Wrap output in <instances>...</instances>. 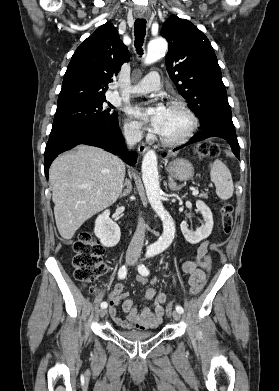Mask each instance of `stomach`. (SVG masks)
Listing matches in <instances>:
<instances>
[{
  "instance_id": "0dacf381",
  "label": "stomach",
  "mask_w": 279,
  "mask_h": 391,
  "mask_svg": "<svg viewBox=\"0 0 279 391\" xmlns=\"http://www.w3.org/2000/svg\"><path fill=\"white\" fill-rule=\"evenodd\" d=\"M167 171L170 176L178 180H189L194 174L192 164L183 158H178L171 162L167 167Z\"/></svg>"
}]
</instances>
